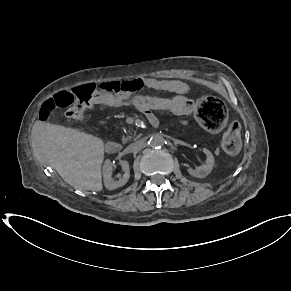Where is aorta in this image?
<instances>
[{
  "mask_svg": "<svg viewBox=\"0 0 291 291\" xmlns=\"http://www.w3.org/2000/svg\"><path fill=\"white\" fill-rule=\"evenodd\" d=\"M165 143V139L162 135L155 134L149 139V145L153 148L162 147Z\"/></svg>",
  "mask_w": 291,
  "mask_h": 291,
  "instance_id": "762f6f07",
  "label": "aorta"
}]
</instances>
